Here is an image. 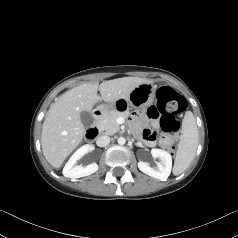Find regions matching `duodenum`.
I'll return each instance as SVG.
<instances>
[{"label":"duodenum","instance_id":"duodenum-1","mask_svg":"<svg viewBox=\"0 0 238 238\" xmlns=\"http://www.w3.org/2000/svg\"><path fill=\"white\" fill-rule=\"evenodd\" d=\"M104 114H105V110L103 108H98L94 111L93 124L87 130V133H86V136H87L88 139H95L98 136V134H99L98 123L100 122V120L102 119Z\"/></svg>","mask_w":238,"mask_h":238}]
</instances>
